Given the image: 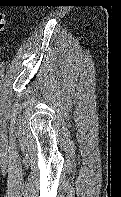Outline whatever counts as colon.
<instances>
[{
	"mask_svg": "<svg viewBox=\"0 0 121 197\" xmlns=\"http://www.w3.org/2000/svg\"><path fill=\"white\" fill-rule=\"evenodd\" d=\"M6 26V14L0 9V35L3 33Z\"/></svg>",
	"mask_w": 121,
	"mask_h": 197,
	"instance_id": "obj_1",
	"label": "colon"
}]
</instances>
